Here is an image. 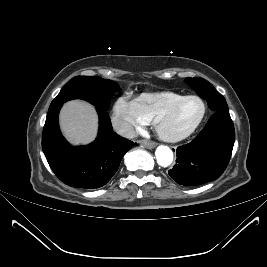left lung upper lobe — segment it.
Instances as JSON below:
<instances>
[{
	"instance_id": "left-lung-upper-lobe-1",
	"label": "left lung upper lobe",
	"mask_w": 267,
	"mask_h": 267,
	"mask_svg": "<svg viewBox=\"0 0 267 267\" xmlns=\"http://www.w3.org/2000/svg\"><path fill=\"white\" fill-rule=\"evenodd\" d=\"M185 82L195 89L200 97L207 100L210 109L214 111H228L224 97L215 90L211 83L197 77L186 78Z\"/></svg>"
}]
</instances>
